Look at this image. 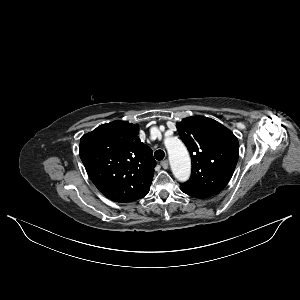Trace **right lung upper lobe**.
<instances>
[{
    "mask_svg": "<svg viewBox=\"0 0 300 300\" xmlns=\"http://www.w3.org/2000/svg\"><path fill=\"white\" fill-rule=\"evenodd\" d=\"M138 130V125L113 121L80 139V158L90 179L112 201L133 202L150 190L156 161Z\"/></svg>",
    "mask_w": 300,
    "mask_h": 300,
    "instance_id": "right-lung-upper-lobe-1",
    "label": "right lung upper lobe"
}]
</instances>
